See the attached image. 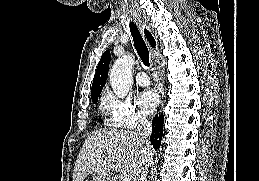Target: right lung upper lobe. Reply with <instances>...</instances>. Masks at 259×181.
<instances>
[{
    "label": "right lung upper lobe",
    "instance_id": "right-lung-upper-lobe-1",
    "mask_svg": "<svg viewBox=\"0 0 259 181\" xmlns=\"http://www.w3.org/2000/svg\"><path fill=\"white\" fill-rule=\"evenodd\" d=\"M109 61H110V51L107 50L102 55L99 64L97 66V70L93 79L92 89H91V97L99 96L108 76L109 70Z\"/></svg>",
    "mask_w": 259,
    "mask_h": 181
}]
</instances>
